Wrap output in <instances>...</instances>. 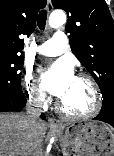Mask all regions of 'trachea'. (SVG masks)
<instances>
[{
  "label": "trachea",
  "mask_w": 114,
  "mask_h": 156,
  "mask_svg": "<svg viewBox=\"0 0 114 156\" xmlns=\"http://www.w3.org/2000/svg\"><path fill=\"white\" fill-rule=\"evenodd\" d=\"M46 20H47V11L41 10L38 18H37V25L39 29L44 30L46 26Z\"/></svg>",
  "instance_id": "trachea-1"
}]
</instances>
